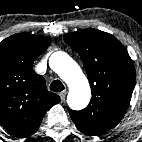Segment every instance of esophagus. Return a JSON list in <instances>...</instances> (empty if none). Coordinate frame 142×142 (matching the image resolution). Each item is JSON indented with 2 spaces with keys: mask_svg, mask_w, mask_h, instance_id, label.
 <instances>
[{
  "mask_svg": "<svg viewBox=\"0 0 142 142\" xmlns=\"http://www.w3.org/2000/svg\"><path fill=\"white\" fill-rule=\"evenodd\" d=\"M66 94H67V92L65 90L59 93L61 102H63L65 100Z\"/></svg>",
  "mask_w": 142,
  "mask_h": 142,
  "instance_id": "obj_1",
  "label": "esophagus"
}]
</instances>
